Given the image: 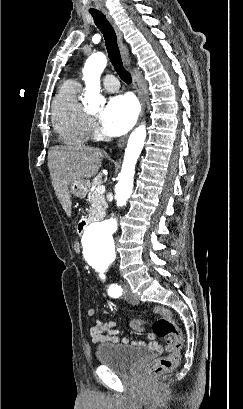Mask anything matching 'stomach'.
Returning <instances> with one entry per match:
<instances>
[{
    "label": "stomach",
    "mask_w": 243,
    "mask_h": 409,
    "mask_svg": "<svg viewBox=\"0 0 243 409\" xmlns=\"http://www.w3.org/2000/svg\"><path fill=\"white\" fill-rule=\"evenodd\" d=\"M71 192L80 198H84L88 191V186L86 183L81 181H74L70 185Z\"/></svg>",
    "instance_id": "obj_1"
}]
</instances>
